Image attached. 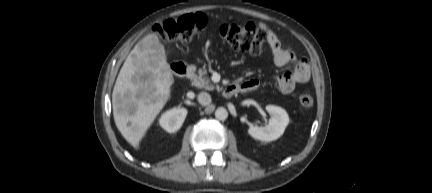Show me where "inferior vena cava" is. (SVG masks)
<instances>
[{"label": "inferior vena cava", "mask_w": 432, "mask_h": 193, "mask_svg": "<svg viewBox=\"0 0 432 193\" xmlns=\"http://www.w3.org/2000/svg\"><path fill=\"white\" fill-rule=\"evenodd\" d=\"M198 102L203 106H207L211 103V96L206 92H201L198 94Z\"/></svg>", "instance_id": "inferior-vena-cava-1"}]
</instances>
